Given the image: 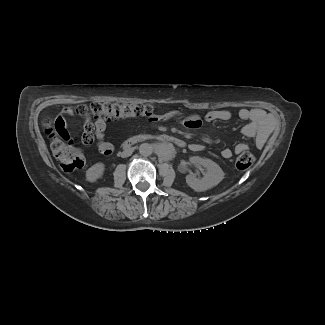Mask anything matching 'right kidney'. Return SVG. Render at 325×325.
Wrapping results in <instances>:
<instances>
[{
  "label": "right kidney",
  "mask_w": 325,
  "mask_h": 325,
  "mask_svg": "<svg viewBox=\"0 0 325 325\" xmlns=\"http://www.w3.org/2000/svg\"><path fill=\"white\" fill-rule=\"evenodd\" d=\"M104 170L105 165L103 163L94 164L86 171V180L89 182H95L97 179L102 177Z\"/></svg>",
  "instance_id": "1"
}]
</instances>
